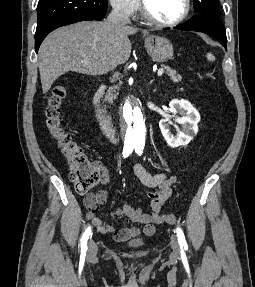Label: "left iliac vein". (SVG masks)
Wrapping results in <instances>:
<instances>
[{
    "label": "left iliac vein",
    "instance_id": "obj_1",
    "mask_svg": "<svg viewBox=\"0 0 255 287\" xmlns=\"http://www.w3.org/2000/svg\"><path fill=\"white\" fill-rule=\"evenodd\" d=\"M171 247L173 249V252L175 255H178L179 254V251H180V246H179V243L177 241L176 238H173L172 241H171Z\"/></svg>",
    "mask_w": 255,
    "mask_h": 287
}]
</instances>
